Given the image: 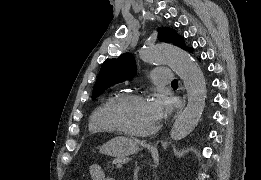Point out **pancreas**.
<instances>
[{
  "instance_id": "1",
  "label": "pancreas",
  "mask_w": 261,
  "mask_h": 180,
  "mask_svg": "<svg viewBox=\"0 0 261 180\" xmlns=\"http://www.w3.org/2000/svg\"><path fill=\"white\" fill-rule=\"evenodd\" d=\"M103 167H106L107 170H114L115 166L113 165V160L105 159V162H103Z\"/></svg>"
}]
</instances>
